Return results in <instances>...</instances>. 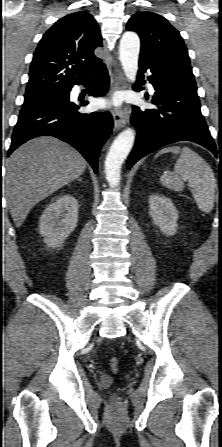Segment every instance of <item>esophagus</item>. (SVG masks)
<instances>
[{"label":"esophagus","mask_w":222,"mask_h":447,"mask_svg":"<svg viewBox=\"0 0 222 447\" xmlns=\"http://www.w3.org/2000/svg\"><path fill=\"white\" fill-rule=\"evenodd\" d=\"M124 87V75L121 71V69L113 65V76H112V89H118ZM129 118V111L128 109H115L113 111V121H114V131H118L121 128H123Z\"/></svg>","instance_id":"obj_1"}]
</instances>
